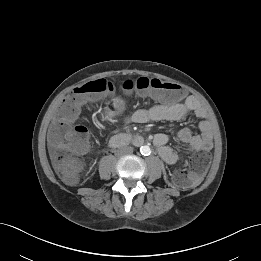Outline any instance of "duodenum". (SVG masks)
<instances>
[{"label":"duodenum","mask_w":261,"mask_h":261,"mask_svg":"<svg viewBox=\"0 0 261 261\" xmlns=\"http://www.w3.org/2000/svg\"><path fill=\"white\" fill-rule=\"evenodd\" d=\"M130 142L136 143V144H142L144 142V139L142 136L138 134H131V133H119L114 135L111 140L110 144L112 146H125L129 144Z\"/></svg>","instance_id":"obj_1"}]
</instances>
